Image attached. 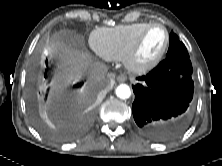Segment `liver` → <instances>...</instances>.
I'll use <instances>...</instances> for the list:
<instances>
[{
    "label": "liver",
    "instance_id": "1",
    "mask_svg": "<svg viewBox=\"0 0 222 166\" xmlns=\"http://www.w3.org/2000/svg\"><path fill=\"white\" fill-rule=\"evenodd\" d=\"M48 49L52 57L59 59V71L52 82L51 91V97L58 99L67 82L80 79L96 62L93 63L90 55L74 50L62 42H53Z\"/></svg>",
    "mask_w": 222,
    "mask_h": 166
}]
</instances>
